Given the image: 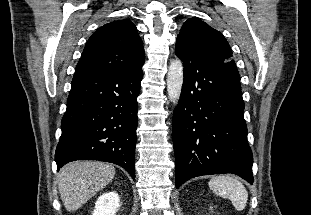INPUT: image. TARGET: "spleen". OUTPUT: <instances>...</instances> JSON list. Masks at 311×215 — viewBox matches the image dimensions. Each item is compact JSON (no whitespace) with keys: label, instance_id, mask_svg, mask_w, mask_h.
<instances>
[{"label":"spleen","instance_id":"obj_1","mask_svg":"<svg viewBox=\"0 0 311 215\" xmlns=\"http://www.w3.org/2000/svg\"><path fill=\"white\" fill-rule=\"evenodd\" d=\"M208 185L215 194L228 198L237 210L242 211L246 207L248 192L238 179L226 175L214 176Z\"/></svg>","mask_w":311,"mask_h":215}]
</instances>
